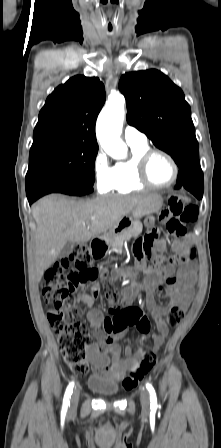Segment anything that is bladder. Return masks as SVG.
<instances>
[{"label": "bladder", "mask_w": 221, "mask_h": 448, "mask_svg": "<svg viewBox=\"0 0 221 448\" xmlns=\"http://www.w3.org/2000/svg\"><path fill=\"white\" fill-rule=\"evenodd\" d=\"M87 386L101 398H113L120 390L117 382L101 375H90L87 379Z\"/></svg>", "instance_id": "1"}]
</instances>
